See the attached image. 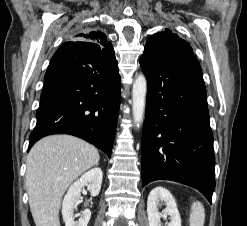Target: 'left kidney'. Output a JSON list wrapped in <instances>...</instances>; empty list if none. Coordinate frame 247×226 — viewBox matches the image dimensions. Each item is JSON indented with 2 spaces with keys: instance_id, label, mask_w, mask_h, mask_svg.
I'll use <instances>...</instances> for the list:
<instances>
[{
  "instance_id": "5707ae66",
  "label": "left kidney",
  "mask_w": 247,
  "mask_h": 226,
  "mask_svg": "<svg viewBox=\"0 0 247 226\" xmlns=\"http://www.w3.org/2000/svg\"><path fill=\"white\" fill-rule=\"evenodd\" d=\"M164 202L166 208L162 213L158 210V204ZM147 214L149 226H161V218L170 216L168 226H181V218L172 194L163 187L154 188L147 199Z\"/></svg>"
}]
</instances>
